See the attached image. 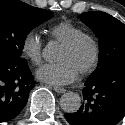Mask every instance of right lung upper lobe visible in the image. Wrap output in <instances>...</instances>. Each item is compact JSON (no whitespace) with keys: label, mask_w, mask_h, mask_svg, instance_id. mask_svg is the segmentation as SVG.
Instances as JSON below:
<instances>
[{"label":"right lung upper lobe","mask_w":125,"mask_h":125,"mask_svg":"<svg viewBox=\"0 0 125 125\" xmlns=\"http://www.w3.org/2000/svg\"><path fill=\"white\" fill-rule=\"evenodd\" d=\"M8 1H10V2H20L18 0H8Z\"/></svg>","instance_id":"cb5924a9"}]
</instances>
